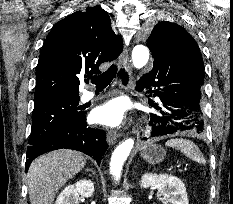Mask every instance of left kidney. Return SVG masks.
Segmentation results:
<instances>
[{
    "instance_id": "1",
    "label": "left kidney",
    "mask_w": 233,
    "mask_h": 204,
    "mask_svg": "<svg viewBox=\"0 0 233 204\" xmlns=\"http://www.w3.org/2000/svg\"><path fill=\"white\" fill-rule=\"evenodd\" d=\"M141 187L157 189L163 195V201L171 204H189L186 187L177 177L168 174H144Z\"/></svg>"
}]
</instances>
